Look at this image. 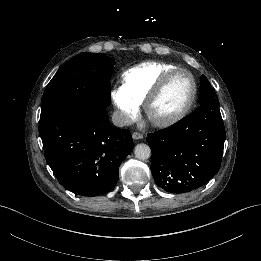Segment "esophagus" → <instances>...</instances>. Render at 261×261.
<instances>
[{"label": "esophagus", "instance_id": "34e87169", "mask_svg": "<svg viewBox=\"0 0 261 261\" xmlns=\"http://www.w3.org/2000/svg\"><path fill=\"white\" fill-rule=\"evenodd\" d=\"M132 138L135 140H139V139L143 138V135L139 132H134V133H132Z\"/></svg>", "mask_w": 261, "mask_h": 261}]
</instances>
